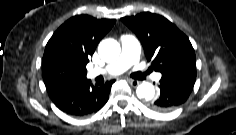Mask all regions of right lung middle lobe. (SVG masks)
Here are the masks:
<instances>
[{"label": "right lung middle lobe", "mask_w": 236, "mask_h": 135, "mask_svg": "<svg viewBox=\"0 0 236 135\" xmlns=\"http://www.w3.org/2000/svg\"><path fill=\"white\" fill-rule=\"evenodd\" d=\"M45 68H54V69L67 71V72L77 74V75H81V76H85L86 73H87L86 68H79L78 66L73 64L71 61H69L65 58H62V57L53 58L49 62L48 65L43 67V69H45Z\"/></svg>", "instance_id": "obj_1"}]
</instances>
